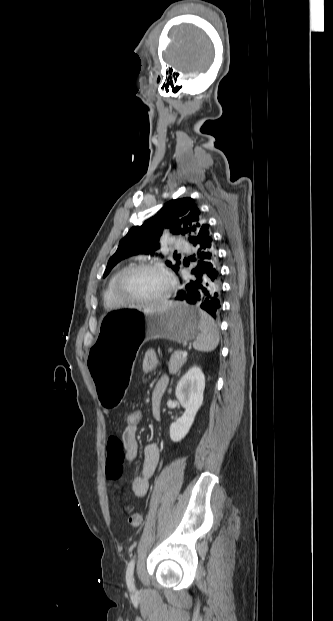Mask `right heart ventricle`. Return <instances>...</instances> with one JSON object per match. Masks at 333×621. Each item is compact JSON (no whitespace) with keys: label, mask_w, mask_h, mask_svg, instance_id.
Returning <instances> with one entry per match:
<instances>
[{"label":"right heart ventricle","mask_w":333,"mask_h":621,"mask_svg":"<svg viewBox=\"0 0 333 621\" xmlns=\"http://www.w3.org/2000/svg\"><path fill=\"white\" fill-rule=\"evenodd\" d=\"M123 271V268L116 270L109 278L106 287L103 292V303L107 308H114L120 305L114 290V283L118 275Z\"/></svg>","instance_id":"obj_1"}]
</instances>
